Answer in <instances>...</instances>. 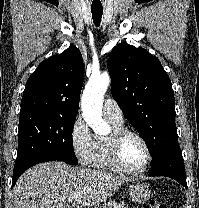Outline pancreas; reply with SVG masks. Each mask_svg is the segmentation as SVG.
I'll use <instances>...</instances> for the list:
<instances>
[{
    "instance_id": "1",
    "label": "pancreas",
    "mask_w": 199,
    "mask_h": 208,
    "mask_svg": "<svg viewBox=\"0 0 199 208\" xmlns=\"http://www.w3.org/2000/svg\"><path fill=\"white\" fill-rule=\"evenodd\" d=\"M95 208H126V207H124V202L108 201L105 202L103 205Z\"/></svg>"
}]
</instances>
